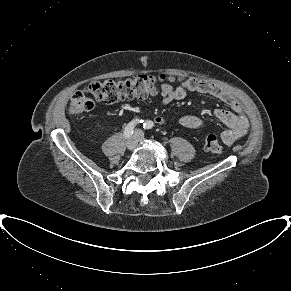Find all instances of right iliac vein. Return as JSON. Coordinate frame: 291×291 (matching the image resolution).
I'll return each mask as SVG.
<instances>
[{
	"label": "right iliac vein",
	"instance_id": "63e3f726",
	"mask_svg": "<svg viewBox=\"0 0 291 291\" xmlns=\"http://www.w3.org/2000/svg\"><path fill=\"white\" fill-rule=\"evenodd\" d=\"M137 143H138V134L135 133L133 136H131L128 139L126 146L129 150H133L137 146Z\"/></svg>",
	"mask_w": 291,
	"mask_h": 291
}]
</instances>
